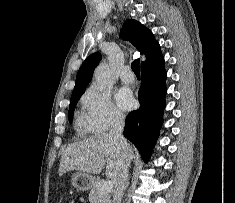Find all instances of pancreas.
Returning <instances> with one entry per match:
<instances>
[{"label":"pancreas","mask_w":235,"mask_h":203,"mask_svg":"<svg viewBox=\"0 0 235 203\" xmlns=\"http://www.w3.org/2000/svg\"><path fill=\"white\" fill-rule=\"evenodd\" d=\"M103 182L102 181H96L93 185L90 194H89V201L90 203H111V196L109 193L102 194L101 188H102Z\"/></svg>","instance_id":"pancreas-1"}]
</instances>
